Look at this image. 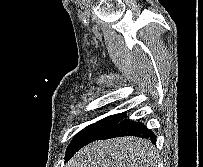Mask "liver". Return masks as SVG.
Listing matches in <instances>:
<instances>
[{
  "label": "liver",
  "instance_id": "obj_1",
  "mask_svg": "<svg viewBox=\"0 0 203 167\" xmlns=\"http://www.w3.org/2000/svg\"><path fill=\"white\" fill-rule=\"evenodd\" d=\"M156 150L150 141L124 137L93 142L68 162L67 167H155Z\"/></svg>",
  "mask_w": 203,
  "mask_h": 167
}]
</instances>
